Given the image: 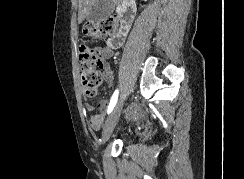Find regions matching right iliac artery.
I'll use <instances>...</instances> for the list:
<instances>
[{
	"label": "right iliac artery",
	"mask_w": 244,
	"mask_h": 179,
	"mask_svg": "<svg viewBox=\"0 0 244 179\" xmlns=\"http://www.w3.org/2000/svg\"><path fill=\"white\" fill-rule=\"evenodd\" d=\"M118 94H119V91L116 90V91L114 92L112 98H111L110 103H109L108 110H107V113H108V114L113 110L114 106L116 105V103H117V99H118Z\"/></svg>",
	"instance_id": "obj_1"
}]
</instances>
